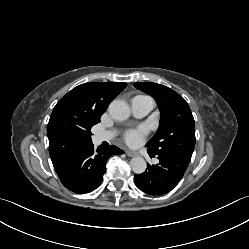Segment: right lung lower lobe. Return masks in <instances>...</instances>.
<instances>
[{"instance_id":"1","label":"right lung lower lobe","mask_w":249,"mask_h":249,"mask_svg":"<svg viewBox=\"0 0 249 249\" xmlns=\"http://www.w3.org/2000/svg\"><path fill=\"white\" fill-rule=\"evenodd\" d=\"M123 153V150L112 145L95 153L90 143L56 172L67 189L79 194L88 193L101 184L109 156Z\"/></svg>"}]
</instances>
